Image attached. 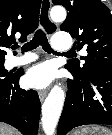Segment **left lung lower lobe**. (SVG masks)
I'll return each mask as SVG.
<instances>
[{"label":"left lung lower lobe","instance_id":"left-lung-lower-lobe-1","mask_svg":"<svg viewBox=\"0 0 112 135\" xmlns=\"http://www.w3.org/2000/svg\"><path fill=\"white\" fill-rule=\"evenodd\" d=\"M70 72L74 80H68L57 134L66 135L71 129L88 124L112 125V71L95 72L85 78Z\"/></svg>","mask_w":112,"mask_h":135}]
</instances>
